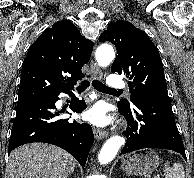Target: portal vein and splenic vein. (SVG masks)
<instances>
[{"instance_id":"portal-vein-and-splenic-vein-1","label":"portal vein and splenic vein","mask_w":194,"mask_h":178,"mask_svg":"<svg viewBox=\"0 0 194 178\" xmlns=\"http://www.w3.org/2000/svg\"><path fill=\"white\" fill-rule=\"evenodd\" d=\"M154 178H160V176L158 175V176H155Z\"/></svg>"}]
</instances>
